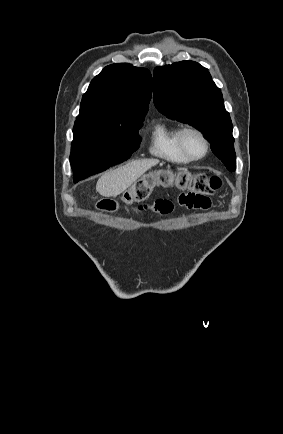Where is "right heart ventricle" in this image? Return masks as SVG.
<instances>
[{"label": "right heart ventricle", "instance_id": "obj_1", "mask_svg": "<svg viewBox=\"0 0 283 434\" xmlns=\"http://www.w3.org/2000/svg\"><path fill=\"white\" fill-rule=\"evenodd\" d=\"M180 129L178 125L166 121L156 122L151 130L149 153L171 163H188L190 160L183 155L178 145Z\"/></svg>", "mask_w": 283, "mask_h": 434}]
</instances>
